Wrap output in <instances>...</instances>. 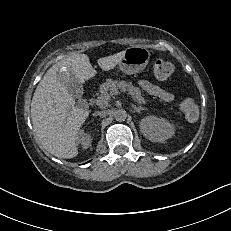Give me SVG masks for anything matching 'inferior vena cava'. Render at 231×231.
<instances>
[{"label": "inferior vena cava", "mask_w": 231, "mask_h": 231, "mask_svg": "<svg viewBox=\"0 0 231 231\" xmlns=\"http://www.w3.org/2000/svg\"><path fill=\"white\" fill-rule=\"evenodd\" d=\"M106 113V111H96L93 113L94 116H98V115H104Z\"/></svg>", "instance_id": "602c4592"}]
</instances>
